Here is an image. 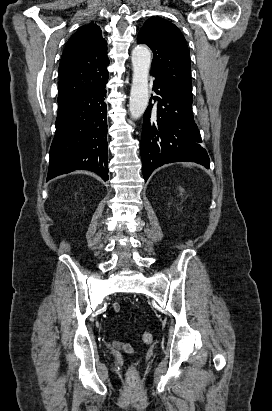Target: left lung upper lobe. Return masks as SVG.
<instances>
[{"label":"left lung upper lobe","instance_id":"5c2ea615","mask_svg":"<svg viewBox=\"0 0 272 411\" xmlns=\"http://www.w3.org/2000/svg\"><path fill=\"white\" fill-rule=\"evenodd\" d=\"M137 43L147 44L153 51L155 79L192 98L190 54L180 30L168 20L151 17L140 30Z\"/></svg>","mask_w":272,"mask_h":411}]
</instances>
